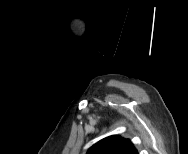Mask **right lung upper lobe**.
I'll use <instances>...</instances> for the list:
<instances>
[{
    "mask_svg": "<svg viewBox=\"0 0 188 154\" xmlns=\"http://www.w3.org/2000/svg\"><path fill=\"white\" fill-rule=\"evenodd\" d=\"M87 154H138L128 139L118 135L109 136L93 145Z\"/></svg>",
    "mask_w": 188,
    "mask_h": 154,
    "instance_id": "cb5924a9",
    "label": "right lung upper lobe"
}]
</instances>
